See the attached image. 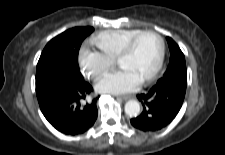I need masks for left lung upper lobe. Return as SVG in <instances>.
Instances as JSON below:
<instances>
[{"label": "left lung upper lobe", "mask_w": 225, "mask_h": 155, "mask_svg": "<svg viewBox=\"0 0 225 155\" xmlns=\"http://www.w3.org/2000/svg\"><path fill=\"white\" fill-rule=\"evenodd\" d=\"M171 57L170 64L160 81L163 80H178L187 84V69L185 63V57L179 46L170 38L167 37Z\"/></svg>", "instance_id": "1"}]
</instances>
